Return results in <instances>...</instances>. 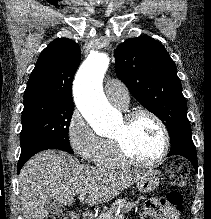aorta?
<instances>
[{
  "instance_id": "obj_1",
  "label": "aorta",
  "mask_w": 211,
  "mask_h": 219,
  "mask_svg": "<svg viewBox=\"0 0 211 219\" xmlns=\"http://www.w3.org/2000/svg\"><path fill=\"white\" fill-rule=\"evenodd\" d=\"M109 66L105 53L92 52L80 66L73 85L75 103L93 130L101 136L108 135L117 114L108 103L102 82Z\"/></svg>"
}]
</instances>
